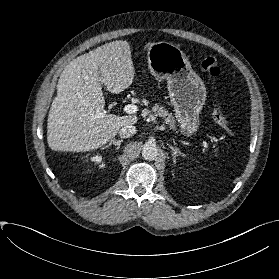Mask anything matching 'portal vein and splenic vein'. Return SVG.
Listing matches in <instances>:
<instances>
[{
    "mask_svg": "<svg viewBox=\"0 0 279 279\" xmlns=\"http://www.w3.org/2000/svg\"><path fill=\"white\" fill-rule=\"evenodd\" d=\"M123 111L128 114H135L138 111V107L134 104H127L124 106ZM97 116L100 117V114Z\"/></svg>",
    "mask_w": 279,
    "mask_h": 279,
    "instance_id": "portal-vein-and-splenic-vein-1",
    "label": "portal vein and splenic vein"
}]
</instances>
